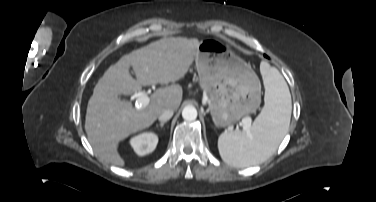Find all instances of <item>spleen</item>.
Segmentation results:
<instances>
[{
    "instance_id": "obj_1",
    "label": "spleen",
    "mask_w": 376,
    "mask_h": 202,
    "mask_svg": "<svg viewBox=\"0 0 376 202\" xmlns=\"http://www.w3.org/2000/svg\"><path fill=\"white\" fill-rule=\"evenodd\" d=\"M265 86V105L249 133L225 131L218 138L221 158L235 167L264 162L274 154L286 135L291 118V95L279 70L266 61L260 64Z\"/></svg>"
}]
</instances>
